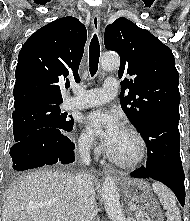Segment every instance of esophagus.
<instances>
[{
  "mask_svg": "<svg viewBox=\"0 0 190 221\" xmlns=\"http://www.w3.org/2000/svg\"><path fill=\"white\" fill-rule=\"evenodd\" d=\"M100 20H101V13L99 10H94L92 13V29L93 31L98 34L100 31ZM104 172L105 173H111V174H115V169L109 165L105 166L104 168Z\"/></svg>",
  "mask_w": 190,
  "mask_h": 221,
  "instance_id": "esophagus-1",
  "label": "esophagus"
}]
</instances>
